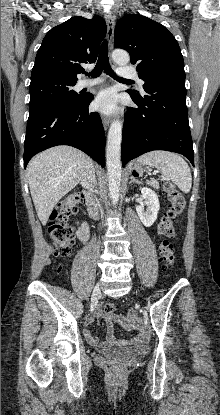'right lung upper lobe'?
<instances>
[{"instance_id":"cb5924a9","label":"right lung upper lobe","mask_w":220,"mask_h":415,"mask_svg":"<svg viewBox=\"0 0 220 415\" xmlns=\"http://www.w3.org/2000/svg\"><path fill=\"white\" fill-rule=\"evenodd\" d=\"M106 35L104 19L75 16L52 28L37 52L31 81L56 78L77 82L81 64L93 63Z\"/></svg>"}]
</instances>
